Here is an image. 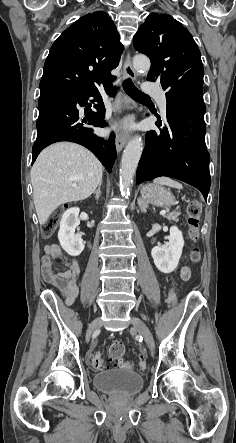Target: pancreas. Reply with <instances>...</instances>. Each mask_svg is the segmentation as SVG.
Returning <instances> with one entry per match:
<instances>
[{
    "mask_svg": "<svg viewBox=\"0 0 236 443\" xmlns=\"http://www.w3.org/2000/svg\"><path fill=\"white\" fill-rule=\"evenodd\" d=\"M180 216V211L171 212L166 218L170 221H178Z\"/></svg>",
    "mask_w": 236,
    "mask_h": 443,
    "instance_id": "cf45deb5",
    "label": "pancreas"
}]
</instances>
